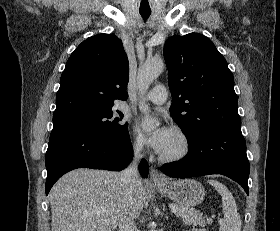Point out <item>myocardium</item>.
<instances>
[{
    "instance_id": "myocardium-1",
    "label": "myocardium",
    "mask_w": 280,
    "mask_h": 231,
    "mask_svg": "<svg viewBox=\"0 0 280 231\" xmlns=\"http://www.w3.org/2000/svg\"><path fill=\"white\" fill-rule=\"evenodd\" d=\"M174 134L178 140V148L170 154H162L159 158L165 163H175L186 158L192 149L190 136L181 129L175 128Z\"/></svg>"
}]
</instances>
